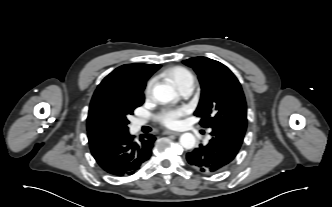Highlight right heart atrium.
<instances>
[{"instance_id":"obj_1","label":"right heart atrium","mask_w":332,"mask_h":207,"mask_svg":"<svg viewBox=\"0 0 332 207\" xmlns=\"http://www.w3.org/2000/svg\"><path fill=\"white\" fill-rule=\"evenodd\" d=\"M153 84H154V81L151 79L147 82L146 86H145V95H149L152 91V88H153Z\"/></svg>"}]
</instances>
